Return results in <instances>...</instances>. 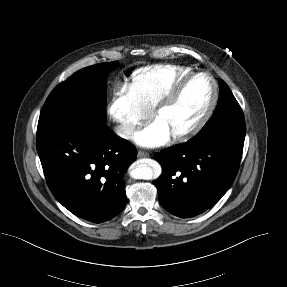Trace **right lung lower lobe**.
Returning a JSON list of instances; mask_svg holds the SVG:
<instances>
[{
	"label": "right lung lower lobe",
	"instance_id": "right-lung-lower-lobe-1",
	"mask_svg": "<svg viewBox=\"0 0 287 287\" xmlns=\"http://www.w3.org/2000/svg\"><path fill=\"white\" fill-rule=\"evenodd\" d=\"M37 151L49 189L74 215L101 223L125 207L122 176L137 151L105 123L37 133Z\"/></svg>",
	"mask_w": 287,
	"mask_h": 287
}]
</instances>
